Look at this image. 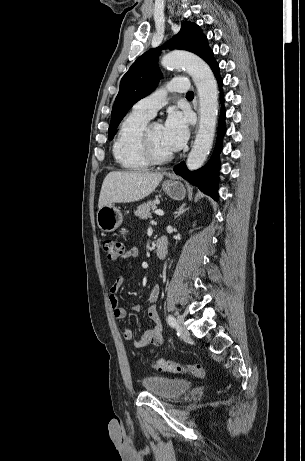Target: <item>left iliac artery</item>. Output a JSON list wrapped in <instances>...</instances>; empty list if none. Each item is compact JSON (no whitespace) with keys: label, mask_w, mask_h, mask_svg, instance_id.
<instances>
[{"label":"left iliac artery","mask_w":305,"mask_h":461,"mask_svg":"<svg viewBox=\"0 0 305 461\" xmlns=\"http://www.w3.org/2000/svg\"><path fill=\"white\" fill-rule=\"evenodd\" d=\"M167 322L171 327H173V328L177 327V322H176L175 318L172 315H168Z\"/></svg>","instance_id":"1"}]
</instances>
